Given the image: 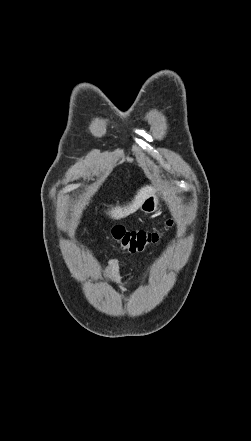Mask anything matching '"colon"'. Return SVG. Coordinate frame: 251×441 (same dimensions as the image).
I'll return each mask as SVG.
<instances>
[{
  "mask_svg": "<svg viewBox=\"0 0 251 441\" xmlns=\"http://www.w3.org/2000/svg\"><path fill=\"white\" fill-rule=\"evenodd\" d=\"M173 225L172 220H168L160 230H127L122 226H114L111 230V236L123 250L137 253L142 252L149 245L157 243L164 232Z\"/></svg>",
  "mask_w": 251,
  "mask_h": 441,
  "instance_id": "5ec220e1",
  "label": "colon"
}]
</instances>
